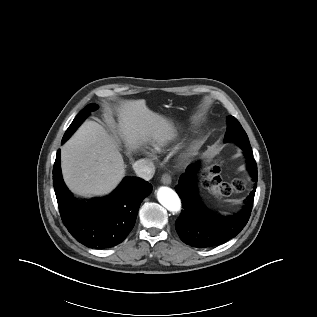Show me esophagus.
I'll use <instances>...</instances> for the list:
<instances>
[{
    "label": "esophagus",
    "mask_w": 317,
    "mask_h": 317,
    "mask_svg": "<svg viewBox=\"0 0 317 317\" xmlns=\"http://www.w3.org/2000/svg\"><path fill=\"white\" fill-rule=\"evenodd\" d=\"M161 182L164 185H170L172 182V178H171L170 174H168V173L163 174L162 178H161Z\"/></svg>",
    "instance_id": "obj_1"
}]
</instances>
